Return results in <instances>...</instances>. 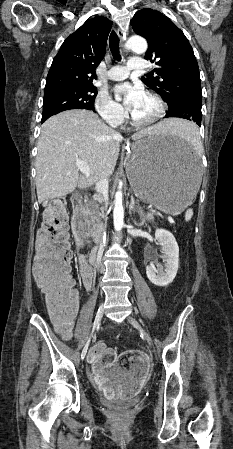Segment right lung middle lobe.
<instances>
[{
    "instance_id": "right-lung-middle-lobe-1",
    "label": "right lung middle lobe",
    "mask_w": 233,
    "mask_h": 449,
    "mask_svg": "<svg viewBox=\"0 0 233 449\" xmlns=\"http://www.w3.org/2000/svg\"><path fill=\"white\" fill-rule=\"evenodd\" d=\"M97 88L93 85L85 87H69L56 89L44 94L42 120L70 109H94Z\"/></svg>"
}]
</instances>
